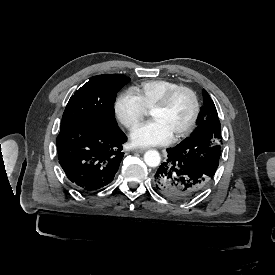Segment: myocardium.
I'll return each instance as SVG.
<instances>
[{
  "instance_id": "myocardium-1",
  "label": "myocardium",
  "mask_w": 275,
  "mask_h": 275,
  "mask_svg": "<svg viewBox=\"0 0 275 275\" xmlns=\"http://www.w3.org/2000/svg\"><path fill=\"white\" fill-rule=\"evenodd\" d=\"M180 91H185L190 95L192 102H193V112H192V116H191L189 122L187 123V125L181 131H179L177 134L172 136L170 138V141H176V140H179V139L187 136L194 128V126L198 120L199 113H200V104H199L197 94L195 93V91L192 88H190L188 86L177 85L174 88L167 91L165 93V95L151 108V112H153L155 110L165 109L170 104L173 97Z\"/></svg>"
}]
</instances>
